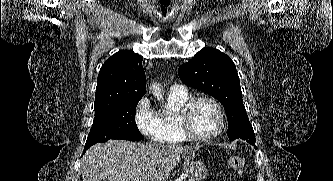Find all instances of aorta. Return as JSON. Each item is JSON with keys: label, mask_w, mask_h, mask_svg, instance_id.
<instances>
[{"label": "aorta", "mask_w": 333, "mask_h": 181, "mask_svg": "<svg viewBox=\"0 0 333 181\" xmlns=\"http://www.w3.org/2000/svg\"><path fill=\"white\" fill-rule=\"evenodd\" d=\"M150 89L152 90V93L155 95V97H157L159 101L163 99L159 85L153 84L150 87Z\"/></svg>", "instance_id": "762f6f07"}]
</instances>
